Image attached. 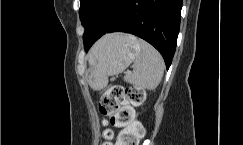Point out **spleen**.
Listing matches in <instances>:
<instances>
[{
  "label": "spleen",
  "mask_w": 243,
  "mask_h": 145,
  "mask_svg": "<svg viewBox=\"0 0 243 145\" xmlns=\"http://www.w3.org/2000/svg\"><path fill=\"white\" fill-rule=\"evenodd\" d=\"M140 54L134 60L133 72L127 73L124 80L136 87L155 89L164 73V61L160 53L149 43L139 40Z\"/></svg>",
  "instance_id": "obj_1"
}]
</instances>
